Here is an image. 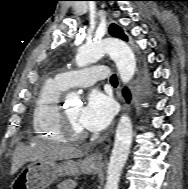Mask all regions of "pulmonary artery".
<instances>
[{
  "mask_svg": "<svg viewBox=\"0 0 188 189\" xmlns=\"http://www.w3.org/2000/svg\"><path fill=\"white\" fill-rule=\"evenodd\" d=\"M110 78V73L105 65H97L78 71H66L56 76L55 80L63 88L89 87L100 81Z\"/></svg>",
  "mask_w": 188,
  "mask_h": 189,
  "instance_id": "e3ab8cb5",
  "label": "pulmonary artery"
}]
</instances>
